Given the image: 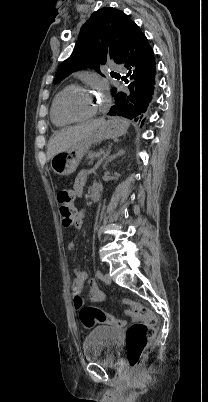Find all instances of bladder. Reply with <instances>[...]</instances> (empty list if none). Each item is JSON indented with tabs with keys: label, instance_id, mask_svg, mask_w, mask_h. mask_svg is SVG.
I'll return each mask as SVG.
<instances>
[{
	"label": "bladder",
	"instance_id": "obj_1",
	"mask_svg": "<svg viewBox=\"0 0 208 402\" xmlns=\"http://www.w3.org/2000/svg\"><path fill=\"white\" fill-rule=\"evenodd\" d=\"M119 347L120 337L117 329L109 326H97L85 339L84 358L102 364L114 363Z\"/></svg>",
	"mask_w": 208,
	"mask_h": 402
}]
</instances>
